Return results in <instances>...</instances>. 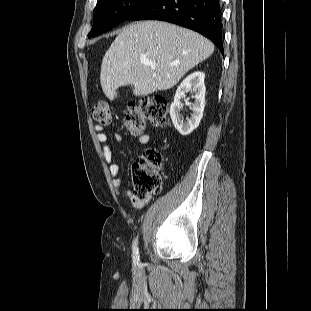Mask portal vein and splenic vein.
<instances>
[{"instance_id":"obj_1","label":"portal vein and splenic vein","mask_w":311,"mask_h":311,"mask_svg":"<svg viewBox=\"0 0 311 311\" xmlns=\"http://www.w3.org/2000/svg\"><path fill=\"white\" fill-rule=\"evenodd\" d=\"M141 62L144 65L150 66L152 69H155L156 65L154 62L147 60L146 58L141 59Z\"/></svg>"}]
</instances>
